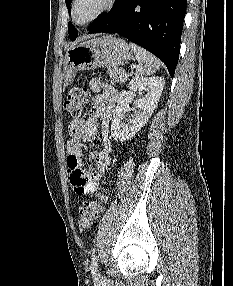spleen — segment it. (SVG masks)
<instances>
[{"instance_id":"3e777b00","label":"spleen","mask_w":233,"mask_h":286,"mask_svg":"<svg viewBox=\"0 0 233 286\" xmlns=\"http://www.w3.org/2000/svg\"><path fill=\"white\" fill-rule=\"evenodd\" d=\"M129 46L138 61L136 71L139 75H150L159 69L160 61L154 55L134 43H129Z\"/></svg>"}]
</instances>
